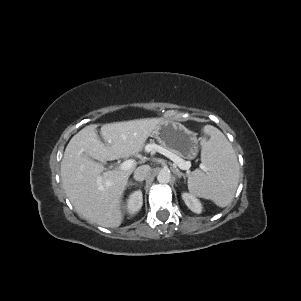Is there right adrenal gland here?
<instances>
[{
  "mask_svg": "<svg viewBox=\"0 0 301 301\" xmlns=\"http://www.w3.org/2000/svg\"><path fill=\"white\" fill-rule=\"evenodd\" d=\"M131 185H136V183H131V182H130V183H129V186H131Z\"/></svg>",
  "mask_w": 301,
  "mask_h": 301,
  "instance_id": "1",
  "label": "right adrenal gland"
}]
</instances>
